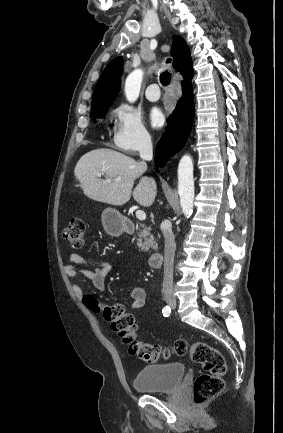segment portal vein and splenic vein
Returning a JSON list of instances; mask_svg holds the SVG:
<instances>
[{"mask_svg":"<svg viewBox=\"0 0 283 433\" xmlns=\"http://www.w3.org/2000/svg\"><path fill=\"white\" fill-rule=\"evenodd\" d=\"M98 176H102L104 172H97ZM115 180H121V176H117ZM136 217L139 219V221H145L146 219V212L144 210H136Z\"/></svg>","mask_w":283,"mask_h":433,"instance_id":"18ae733b","label":"portal vein and splenic vein"}]
</instances>
